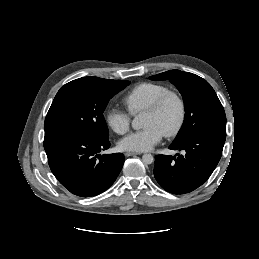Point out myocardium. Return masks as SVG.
<instances>
[{
	"mask_svg": "<svg viewBox=\"0 0 259 259\" xmlns=\"http://www.w3.org/2000/svg\"><path fill=\"white\" fill-rule=\"evenodd\" d=\"M169 100H174L178 108V116L175 124L164 132L167 137L177 134L183 126L185 120V104L182 97L175 91L168 90L164 92L147 110L151 114H158L162 111Z\"/></svg>",
	"mask_w": 259,
	"mask_h": 259,
	"instance_id": "obj_1",
	"label": "myocardium"
}]
</instances>
